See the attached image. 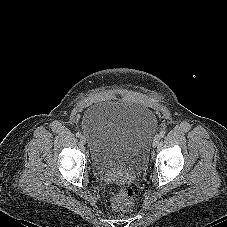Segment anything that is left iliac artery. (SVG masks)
Here are the masks:
<instances>
[{"label":"left iliac artery","instance_id":"1","mask_svg":"<svg viewBox=\"0 0 227 227\" xmlns=\"http://www.w3.org/2000/svg\"><path fill=\"white\" fill-rule=\"evenodd\" d=\"M159 136H160L161 138H163V137L165 136V133L162 131V132H160Z\"/></svg>","mask_w":227,"mask_h":227}]
</instances>
